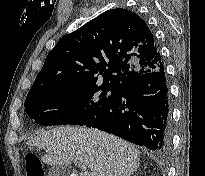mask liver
<instances>
[{
  "label": "liver",
  "mask_w": 205,
  "mask_h": 176,
  "mask_svg": "<svg viewBox=\"0 0 205 176\" xmlns=\"http://www.w3.org/2000/svg\"><path fill=\"white\" fill-rule=\"evenodd\" d=\"M46 150L41 157L45 164L86 165L90 171L79 176H131L140 164V152L127 141L97 129L57 127L27 142Z\"/></svg>",
  "instance_id": "6515ba94"
}]
</instances>
